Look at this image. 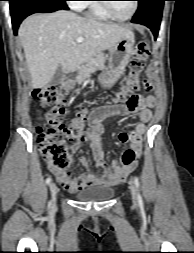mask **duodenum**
Here are the masks:
<instances>
[{
	"label": "duodenum",
	"instance_id": "410a0bca",
	"mask_svg": "<svg viewBox=\"0 0 194 253\" xmlns=\"http://www.w3.org/2000/svg\"><path fill=\"white\" fill-rule=\"evenodd\" d=\"M75 78H80V73H75ZM72 74H70V73H66L64 76H63V78H62V83L64 84V85H69L70 84V82H71V80H72Z\"/></svg>",
	"mask_w": 194,
	"mask_h": 253
}]
</instances>
